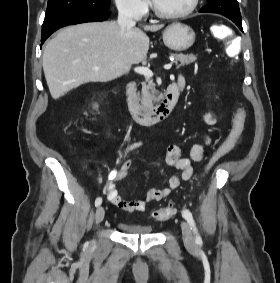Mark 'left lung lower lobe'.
I'll use <instances>...</instances> for the list:
<instances>
[{
	"label": "left lung lower lobe",
	"instance_id": "obj_1",
	"mask_svg": "<svg viewBox=\"0 0 280 283\" xmlns=\"http://www.w3.org/2000/svg\"><path fill=\"white\" fill-rule=\"evenodd\" d=\"M230 20H232L239 27V29L243 31L241 19L231 18Z\"/></svg>",
	"mask_w": 280,
	"mask_h": 283
}]
</instances>
